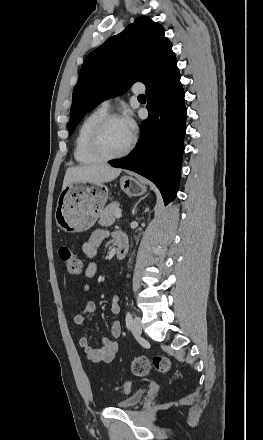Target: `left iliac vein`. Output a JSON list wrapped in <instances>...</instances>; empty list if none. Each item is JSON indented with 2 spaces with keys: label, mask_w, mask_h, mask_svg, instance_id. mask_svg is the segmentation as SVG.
<instances>
[{
  "label": "left iliac vein",
  "mask_w": 263,
  "mask_h": 440,
  "mask_svg": "<svg viewBox=\"0 0 263 440\" xmlns=\"http://www.w3.org/2000/svg\"><path fill=\"white\" fill-rule=\"evenodd\" d=\"M131 331L132 334L136 337H139L142 333V326L140 319L138 317H134L131 324Z\"/></svg>",
  "instance_id": "1"
}]
</instances>
